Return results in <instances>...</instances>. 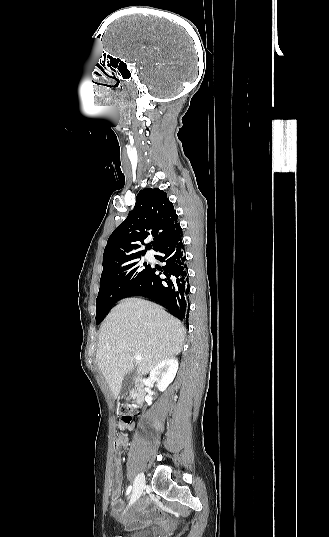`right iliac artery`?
Masks as SVG:
<instances>
[{
  "label": "right iliac artery",
  "instance_id": "right-iliac-artery-1",
  "mask_svg": "<svg viewBox=\"0 0 329 537\" xmlns=\"http://www.w3.org/2000/svg\"><path fill=\"white\" fill-rule=\"evenodd\" d=\"M131 489H132V486L129 485L128 488H127V490H126V496H128V495L130 494Z\"/></svg>",
  "mask_w": 329,
  "mask_h": 537
}]
</instances>
